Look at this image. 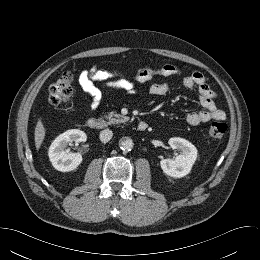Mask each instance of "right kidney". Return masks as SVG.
I'll return each mask as SVG.
<instances>
[{"mask_svg": "<svg viewBox=\"0 0 260 260\" xmlns=\"http://www.w3.org/2000/svg\"><path fill=\"white\" fill-rule=\"evenodd\" d=\"M86 134L78 129L68 130L60 134L51 144L48 156L53 167L61 172H69L76 169L82 162L83 158L80 153H71L67 145L72 142H85Z\"/></svg>", "mask_w": 260, "mask_h": 260, "instance_id": "right-kidney-1", "label": "right kidney"}]
</instances>
